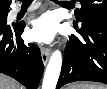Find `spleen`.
Segmentation results:
<instances>
[{
	"mask_svg": "<svg viewBox=\"0 0 107 89\" xmlns=\"http://www.w3.org/2000/svg\"><path fill=\"white\" fill-rule=\"evenodd\" d=\"M69 89H106L104 85L95 84H72Z\"/></svg>",
	"mask_w": 107,
	"mask_h": 89,
	"instance_id": "spleen-1",
	"label": "spleen"
}]
</instances>
